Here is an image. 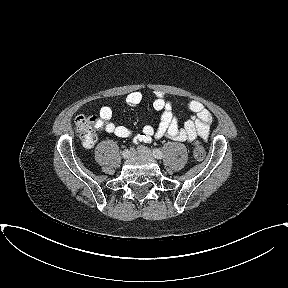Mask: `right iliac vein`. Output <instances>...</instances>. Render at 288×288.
<instances>
[{
  "instance_id": "63e3f726",
  "label": "right iliac vein",
  "mask_w": 288,
  "mask_h": 288,
  "mask_svg": "<svg viewBox=\"0 0 288 288\" xmlns=\"http://www.w3.org/2000/svg\"><path fill=\"white\" fill-rule=\"evenodd\" d=\"M134 154H135V151H134V150H129V158L132 157V156H134Z\"/></svg>"
}]
</instances>
